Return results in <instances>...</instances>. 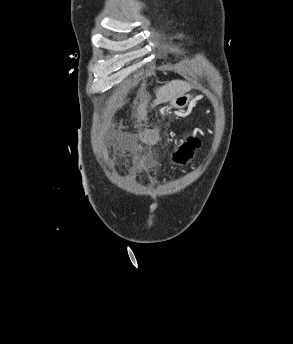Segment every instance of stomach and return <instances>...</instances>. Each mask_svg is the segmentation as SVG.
Here are the masks:
<instances>
[{"mask_svg":"<svg viewBox=\"0 0 293 344\" xmlns=\"http://www.w3.org/2000/svg\"><path fill=\"white\" fill-rule=\"evenodd\" d=\"M192 96L189 94H183L169 101V107L173 109L181 110L185 108L191 101Z\"/></svg>","mask_w":293,"mask_h":344,"instance_id":"0dacf381","label":"stomach"}]
</instances>
